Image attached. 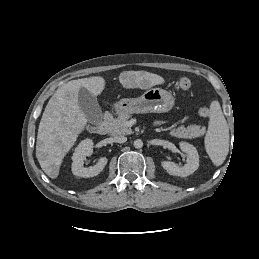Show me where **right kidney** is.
Masks as SVG:
<instances>
[{
	"instance_id": "1",
	"label": "right kidney",
	"mask_w": 259,
	"mask_h": 259,
	"mask_svg": "<svg viewBox=\"0 0 259 259\" xmlns=\"http://www.w3.org/2000/svg\"><path fill=\"white\" fill-rule=\"evenodd\" d=\"M93 152V141L91 139L82 140L76 147L72 156V173L75 176L89 178L97 176L106 166L108 160L106 157L100 158L92 167H83V161Z\"/></svg>"
}]
</instances>
